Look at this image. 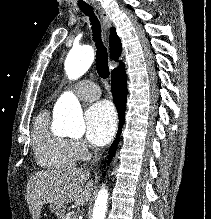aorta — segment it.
<instances>
[{"label":"aorta","instance_id":"obj_1","mask_svg":"<svg viewBox=\"0 0 211 219\" xmlns=\"http://www.w3.org/2000/svg\"><path fill=\"white\" fill-rule=\"evenodd\" d=\"M94 52L91 46L72 48L65 60V72L69 79H77L91 66ZM55 119L64 126V132L71 137H81L85 123L81 106L76 97L68 92L63 94L55 106ZM108 204V191L103 187L97 195L91 219H105Z\"/></svg>","mask_w":211,"mask_h":219}]
</instances>
